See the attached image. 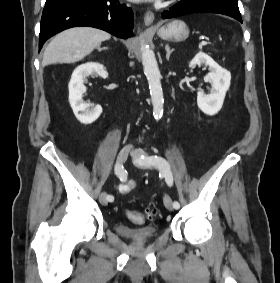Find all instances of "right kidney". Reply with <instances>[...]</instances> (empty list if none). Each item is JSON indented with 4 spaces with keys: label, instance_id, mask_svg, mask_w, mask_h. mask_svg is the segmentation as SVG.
Listing matches in <instances>:
<instances>
[{
    "label": "right kidney",
    "instance_id": "ca27d5eb",
    "mask_svg": "<svg viewBox=\"0 0 280 283\" xmlns=\"http://www.w3.org/2000/svg\"><path fill=\"white\" fill-rule=\"evenodd\" d=\"M93 73H97L104 79L108 77V72L102 64L89 62L78 66L73 71L68 85L71 108L75 117L83 124L93 123L102 113L100 105L90 109L92 105L83 100V94L86 92L84 81Z\"/></svg>",
    "mask_w": 280,
    "mask_h": 283
}]
</instances>
